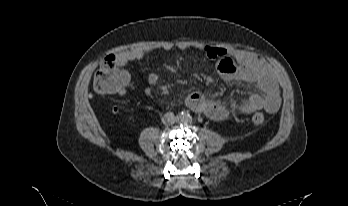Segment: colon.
I'll list each match as a JSON object with an SVG mask.
<instances>
[{"label": "colon", "mask_w": 348, "mask_h": 206, "mask_svg": "<svg viewBox=\"0 0 348 206\" xmlns=\"http://www.w3.org/2000/svg\"><path fill=\"white\" fill-rule=\"evenodd\" d=\"M129 74L122 68L115 55L106 56L101 62L94 76V88L100 94H117L128 83ZM112 112L117 111V107L111 108ZM265 115L262 112H255L252 121L256 125L265 122Z\"/></svg>", "instance_id": "1"}]
</instances>
